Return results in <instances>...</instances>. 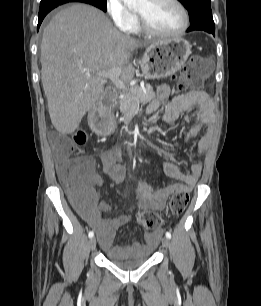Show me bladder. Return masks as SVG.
Listing matches in <instances>:
<instances>
[{
    "mask_svg": "<svg viewBox=\"0 0 261 306\" xmlns=\"http://www.w3.org/2000/svg\"><path fill=\"white\" fill-rule=\"evenodd\" d=\"M151 257L149 251H140L138 253L126 252L122 255L107 254V260L114 266L123 270H133L146 263Z\"/></svg>",
    "mask_w": 261,
    "mask_h": 306,
    "instance_id": "obj_1",
    "label": "bladder"
}]
</instances>
